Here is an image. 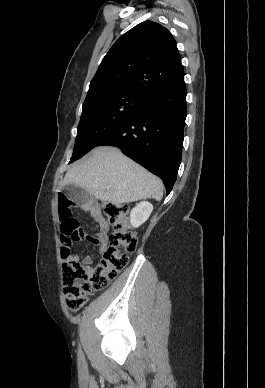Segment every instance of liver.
Wrapping results in <instances>:
<instances>
[{
  "label": "liver",
  "instance_id": "1",
  "mask_svg": "<svg viewBox=\"0 0 265 388\" xmlns=\"http://www.w3.org/2000/svg\"><path fill=\"white\" fill-rule=\"evenodd\" d=\"M76 184L97 200L126 204L154 198L161 200L164 186L156 176L126 158L118 148L99 146L91 158L68 170L62 186Z\"/></svg>",
  "mask_w": 265,
  "mask_h": 388
}]
</instances>
